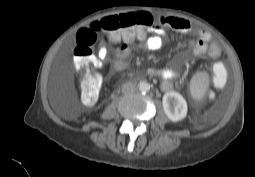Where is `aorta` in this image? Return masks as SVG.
Returning <instances> with one entry per match:
<instances>
[{"label": "aorta", "mask_w": 255, "mask_h": 177, "mask_svg": "<svg viewBox=\"0 0 255 177\" xmlns=\"http://www.w3.org/2000/svg\"><path fill=\"white\" fill-rule=\"evenodd\" d=\"M138 87H139V90L144 93H146L150 90V84L147 82H144V81L140 82Z\"/></svg>", "instance_id": "obj_1"}]
</instances>
